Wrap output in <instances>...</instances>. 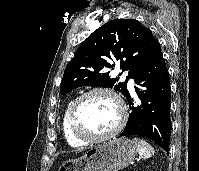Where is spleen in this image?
<instances>
[{"label": "spleen", "instance_id": "3e777b00", "mask_svg": "<svg viewBox=\"0 0 199 171\" xmlns=\"http://www.w3.org/2000/svg\"><path fill=\"white\" fill-rule=\"evenodd\" d=\"M133 143L136 146L137 152L143 159H148L152 155H154L155 151L153 147L150 144H148L145 140L134 138Z\"/></svg>", "mask_w": 199, "mask_h": 171}]
</instances>
